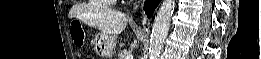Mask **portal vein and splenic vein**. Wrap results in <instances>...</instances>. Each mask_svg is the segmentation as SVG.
<instances>
[{"instance_id": "18ae733b", "label": "portal vein and splenic vein", "mask_w": 261, "mask_h": 59, "mask_svg": "<svg viewBox=\"0 0 261 59\" xmlns=\"http://www.w3.org/2000/svg\"><path fill=\"white\" fill-rule=\"evenodd\" d=\"M125 59H133V55L132 54H129L125 57Z\"/></svg>"}]
</instances>
